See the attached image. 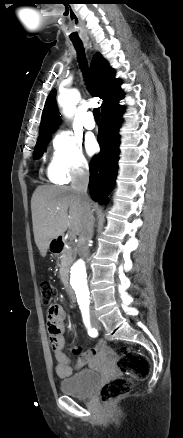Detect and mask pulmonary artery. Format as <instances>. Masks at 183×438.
Segmentation results:
<instances>
[{
  "label": "pulmonary artery",
  "instance_id": "obj_1",
  "mask_svg": "<svg viewBox=\"0 0 183 438\" xmlns=\"http://www.w3.org/2000/svg\"><path fill=\"white\" fill-rule=\"evenodd\" d=\"M84 126L86 129H94L95 128V121L93 119V114L92 112H87L84 116Z\"/></svg>",
  "mask_w": 183,
  "mask_h": 438
}]
</instances>
